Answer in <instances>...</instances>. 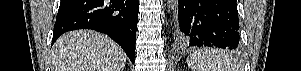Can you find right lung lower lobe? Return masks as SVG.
<instances>
[{
	"instance_id": "right-lung-lower-lobe-1",
	"label": "right lung lower lobe",
	"mask_w": 301,
	"mask_h": 71,
	"mask_svg": "<svg viewBox=\"0 0 301 71\" xmlns=\"http://www.w3.org/2000/svg\"><path fill=\"white\" fill-rule=\"evenodd\" d=\"M138 12V0H61L52 44L67 31L92 29L111 37L134 63Z\"/></svg>"
}]
</instances>
